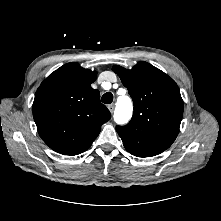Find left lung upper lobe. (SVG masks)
<instances>
[{
    "label": "left lung upper lobe",
    "instance_id": "left-lung-upper-lobe-1",
    "mask_svg": "<svg viewBox=\"0 0 221 221\" xmlns=\"http://www.w3.org/2000/svg\"><path fill=\"white\" fill-rule=\"evenodd\" d=\"M134 102L132 120L116 130L132 155L150 157L162 153L175 141L183 116L177 84L167 74L141 61L131 70L114 66Z\"/></svg>",
    "mask_w": 221,
    "mask_h": 221
}]
</instances>
